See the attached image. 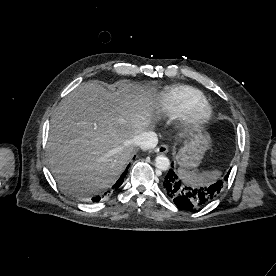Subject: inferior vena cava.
<instances>
[{"mask_svg": "<svg viewBox=\"0 0 276 276\" xmlns=\"http://www.w3.org/2000/svg\"><path fill=\"white\" fill-rule=\"evenodd\" d=\"M132 144L140 147L142 150L153 149L158 144V137L153 131H145L135 136L132 139Z\"/></svg>", "mask_w": 276, "mask_h": 276, "instance_id": "inferior-vena-cava-1", "label": "inferior vena cava"}]
</instances>
